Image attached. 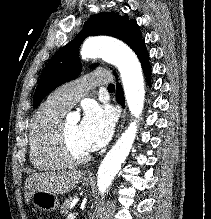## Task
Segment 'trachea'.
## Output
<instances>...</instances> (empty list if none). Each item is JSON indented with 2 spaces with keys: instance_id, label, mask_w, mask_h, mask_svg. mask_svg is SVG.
<instances>
[{
  "instance_id": "3493384b",
  "label": "trachea",
  "mask_w": 211,
  "mask_h": 219,
  "mask_svg": "<svg viewBox=\"0 0 211 219\" xmlns=\"http://www.w3.org/2000/svg\"><path fill=\"white\" fill-rule=\"evenodd\" d=\"M108 89H109V90H114V89H115L114 84H109V85H108Z\"/></svg>"
}]
</instances>
